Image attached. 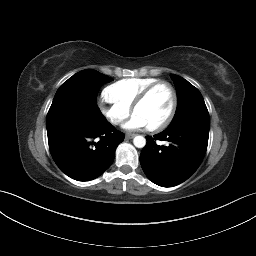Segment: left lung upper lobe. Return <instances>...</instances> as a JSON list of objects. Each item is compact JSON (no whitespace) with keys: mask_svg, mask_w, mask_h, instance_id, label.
I'll use <instances>...</instances> for the list:
<instances>
[{"mask_svg":"<svg viewBox=\"0 0 256 256\" xmlns=\"http://www.w3.org/2000/svg\"><path fill=\"white\" fill-rule=\"evenodd\" d=\"M178 96L175 116L165 130H171L184 124H195L209 128V113L200 91L184 78L170 75Z\"/></svg>","mask_w":256,"mask_h":256,"instance_id":"obj_1","label":"left lung upper lobe"}]
</instances>
